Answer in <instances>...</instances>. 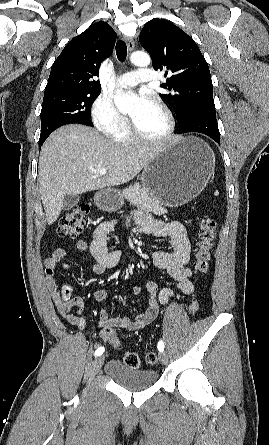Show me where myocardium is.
I'll return each instance as SVG.
<instances>
[{
  "label": "myocardium",
  "instance_id": "obj_1",
  "mask_svg": "<svg viewBox=\"0 0 269 445\" xmlns=\"http://www.w3.org/2000/svg\"><path fill=\"white\" fill-rule=\"evenodd\" d=\"M152 103H154L157 107H159L166 116L167 129L165 133L162 136L156 138L145 137L139 132L132 119H129V130L131 132L133 139L140 143L150 144V145L163 144L167 142L175 132V126H176L175 118L171 109L163 101L159 99H154Z\"/></svg>",
  "mask_w": 269,
  "mask_h": 445
}]
</instances>
